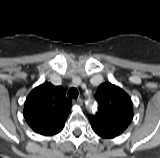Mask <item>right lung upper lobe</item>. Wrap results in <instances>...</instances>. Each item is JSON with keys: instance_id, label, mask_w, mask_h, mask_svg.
Listing matches in <instances>:
<instances>
[{"instance_id": "obj_1", "label": "right lung upper lobe", "mask_w": 160, "mask_h": 158, "mask_svg": "<svg viewBox=\"0 0 160 158\" xmlns=\"http://www.w3.org/2000/svg\"><path fill=\"white\" fill-rule=\"evenodd\" d=\"M71 104L63 87L44 82L28 95L23 115L34 132L52 136L62 131Z\"/></svg>"}]
</instances>
